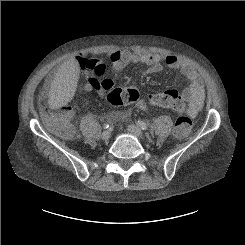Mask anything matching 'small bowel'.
<instances>
[{
	"label": "small bowel",
	"mask_w": 245,
	"mask_h": 245,
	"mask_svg": "<svg viewBox=\"0 0 245 245\" xmlns=\"http://www.w3.org/2000/svg\"><path fill=\"white\" fill-rule=\"evenodd\" d=\"M107 58L115 71H121L131 64H143L148 67L147 73H158L166 65L171 69L180 70L188 79L189 86L183 90L181 96L187 103L186 114L194 117L201 110L205 100V90L198 72L189 64L180 60L173 54H155L147 52H138L132 50H115L107 54ZM77 62L75 58L64 60L57 68L56 73L65 75L76 70ZM94 78L87 82V91H96L93 86ZM102 83L111 86L109 79L100 80ZM135 107L146 110L150 107L149 100L140 98L135 102Z\"/></svg>",
	"instance_id": "c3829d8e"
}]
</instances>
